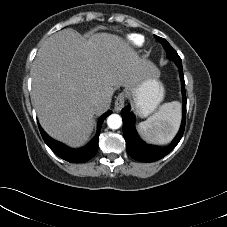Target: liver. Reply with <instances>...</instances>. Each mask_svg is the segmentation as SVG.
I'll return each instance as SVG.
<instances>
[{
  "instance_id": "obj_1",
  "label": "liver",
  "mask_w": 227,
  "mask_h": 227,
  "mask_svg": "<svg viewBox=\"0 0 227 227\" xmlns=\"http://www.w3.org/2000/svg\"><path fill=\"white\" fill-rule=\"evenodd\" d=\"M156 66L141 58L121 37L98 33L81 39L72 29L51 35L38 50L31 69V98L41 126L69 146L84 144L94 115L110 106L116 87L134 88ZM98 96L99 106L93 104Z\"/></svg>"
}]
</instances>
